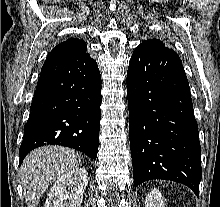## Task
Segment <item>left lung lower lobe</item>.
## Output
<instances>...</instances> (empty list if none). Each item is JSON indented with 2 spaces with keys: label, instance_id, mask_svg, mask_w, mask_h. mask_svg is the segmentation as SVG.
Returning a JSON list of instances; mask_svg holds the SVG:
<instances>
[{
  "label": "left lung lower lobe",
  "instance_id": "obj_1",
  "mask_svg": "<svg viewBox=\"0 0 220 207\" xmlns=\"http://www.w3.org/2000/svg\"><path fill=\"white\" fill-rule=\"evenodd\" d=\"M134 185L182 183L199 195L201 149L189 83L173 49L141 43L127 73Z\"/></svg>",
  "mask_w": 220,
  "mask_h": 207
}]
</instances>
